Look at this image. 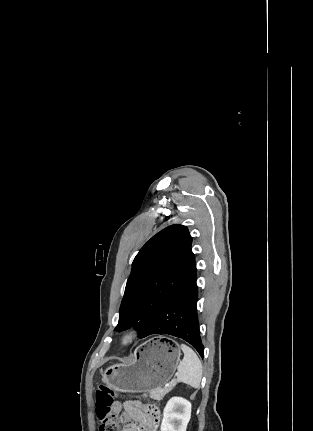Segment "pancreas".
I'll use <instances>...</instances> for the list:
<instances>
[{
  "label": "pancreas",
  "mask_w": 313,
  "mask_h": 431,
  "mask_svg": "<svg viewBox=\"0 0 313 431\" xmlns=\"http://www.w3.org/2000/svg\"><path fill=\"white\" fill-rule=\"evenodd\" d=\"M174 386L175 383H172L167 387L151 390L149 391V396L154 400H161L167 393H169L174 388Z\"/></svg>",
  "instance_id": "obj_1"
}]
</instances>
